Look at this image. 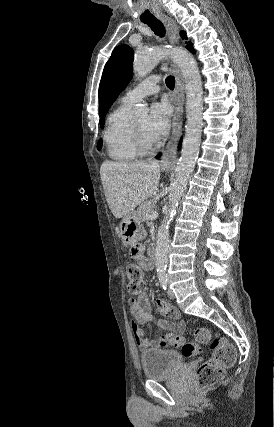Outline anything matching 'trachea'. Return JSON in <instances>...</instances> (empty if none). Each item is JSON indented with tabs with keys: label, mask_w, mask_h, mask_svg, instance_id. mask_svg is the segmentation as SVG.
Returning <instances> with one entry per match:
<instances>
[{
	"label": "trachea",
	"mask_w": 274,
	"mask_h": 427,
	"mask_svg": "<svg viewBox=\"0 0 274 427\" xmlns=\"http://www.w3.org/2000/svg\"><path fill=\"white\" fill-rule=\"evenodd\" d=\"M142 22L146 23V25H148L151 28V30L155 33V35L160 36V38H163V36H165V27L163 23L160 22V20H158L157 18L155 17L148 18L146 20H142ZM174 84H175L174 77L168 76L166 78L167 87L173 90Z\"/></svg>",
	"instance_id": "1"
}]
</instances>
